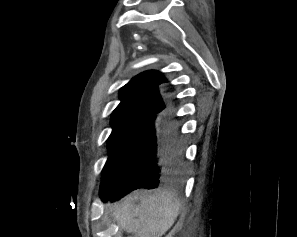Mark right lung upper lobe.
Here are the masks:
<instances>
[{
	"label": "right lung upper lobe",
	"instance_id": "right-lung-upper-lobe-1",
	"mask_svg": "<svg viewBox=\"0 0 297 237\" xmlns=\"http://www.w3.org/2000/svg\"><path fill=\"white\" fill-rule=\"evenodd\" d=\"M167 82L160 72L146 71L131 79L120 89V104L112 113L111 124L147 118L153 120L169 106L162 98L159 85Z\"/></svg>",
	"mask_w": 297,
	"mask_h": 237
}]
</instances>
